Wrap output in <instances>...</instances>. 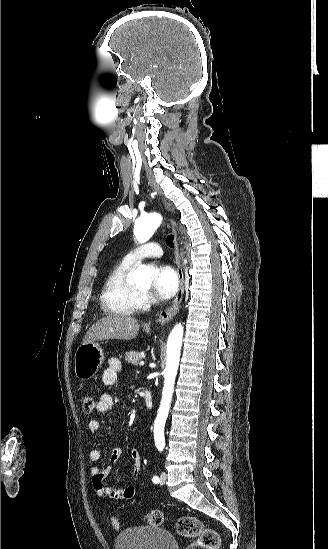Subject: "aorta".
<instances>
[{
	"label": "aorta",
	"instance_id": "1",
	"mask_svg": "<svg viewBox=\"0 0 328 549\" xmlns=\"http://www.w3.org/2000/svg\"><path fill=\"white\" fill-rule=\"evenodd\" d=\"M162 220L163 218L159 213H150L138 218L134 225V234L138 242L144 243L148 241L160 226ZM152 278L153 270L146 265L139 266L133 274L134 281L141 285H151ZM183 331L182 324L175 325L167 341L162 399L154 422V440L158 450H163L165 447L164 427L171 405L175 378L179 366Z\"/></svg>",
	"mask_w": 328,
	"mask_h": 549
}]
</instances>
